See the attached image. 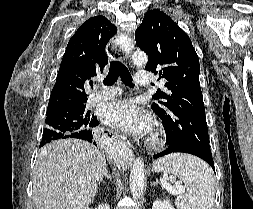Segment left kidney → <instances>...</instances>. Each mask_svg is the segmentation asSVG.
<instances>
[{
  "instance_id": "5707ae66",
  "label": "left kidney",
  "mask_w": 253,
  "mask_h": 209,
  "mask_svg": "<svg viewBox=\"0 0 253 209\" xmlns=\"http://www.w3.org/2000/svg\"><path fill=\"white\" fill-rule=\"evenodd\" d=\"M152 209H174L168 200H156L153 203Z\"/></svg>"
}]
</instances>
